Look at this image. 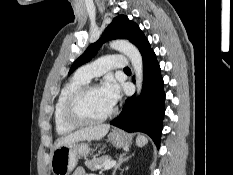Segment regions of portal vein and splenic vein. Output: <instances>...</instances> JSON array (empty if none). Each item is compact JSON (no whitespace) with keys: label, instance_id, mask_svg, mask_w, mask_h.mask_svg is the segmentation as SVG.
Listing matches in <instances>:
<instances>
[{"label":"portal vein and splenic vein","instance_id":"portal-vein-and-splenic-vein-1","mask_svg":"<svg viewBox=\"0 0 233 175\" xmlns=\"http://www.w3.org/2000/svg\"><path fill=\"white\" fill-rule=\"evenodd\" d=\"M116 164V161L115 160H111V161H107L104 165V169L107 170V169H110L112 168L114 165Z\"/></svg>","mask_w":233,"mask_h":175}]
</instances>
